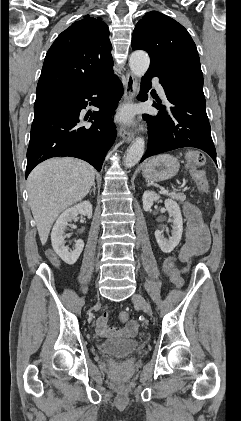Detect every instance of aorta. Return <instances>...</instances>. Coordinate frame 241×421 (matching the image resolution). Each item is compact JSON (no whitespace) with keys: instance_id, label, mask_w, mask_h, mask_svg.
<instances>
[{"instance_id":"1","label":"aorta","mask_w":241,"mask_h":421,"mask_svg":"<svg viewBox=\"0 0 241 421\" xmlns=\"http://www.w3.org/2000/svg\"><path fill=\"white\" fill-rule=\"evenodd\" d=\"M150 65L149 55L142 50L134 51L129 59V66L132 73L137 77H142ZM145 141L143 138H136L127 150L125 166L131 168L136 165L144 154Z\"/></svg>"}]
</instances>
